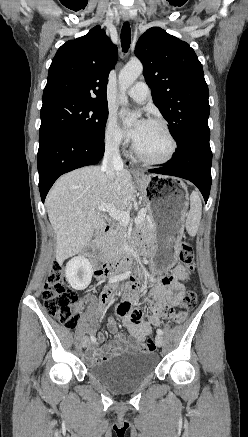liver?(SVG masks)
I'll use <instances>...</instances> for the list:
<instances>
[{
    "instance_id": "1",
    "label": "liver",
    "mask_w": 248,
    "mask_h": 437,
    "mask_svg": "<svg viewBox=\"0 0 248 437\" xmlns=\"http://www.w3.org/2000/svg\"><path fill=\"white\" fill-rule=\"evenodd\" d=\"M134 181L128 170L108 178L98 166L83 167L61 176L46 198L50 223L56 235L58 263L85 249L94 232L105 226L100 205L128 208L134 198Z\"/></svg>"
}]
</instances>
